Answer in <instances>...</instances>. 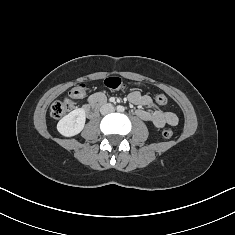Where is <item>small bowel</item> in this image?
<instances>
[{"instance_id":"c3829d8e","label":"small bowel","mask_w":235,"mask_h":235,"mask_svg":"<svg viewBox=\"0 0 235 235\" xmlns=\"http://www.w3.org/2000/svg\"><path fill=\"white\" fill-rule=\"evenodd\" d=\"M106 100L103 93H94L89 96L88 103H102ZM129 100L140 106L141 108L136 111L139 118L145 121H151L157 128H162L165 125L175 126L178 124V117L175 113L170 111H150L147 107L151 106L152 100L148 95H143L137 91L129 94Z\"/></svg>"}]
</instances>
